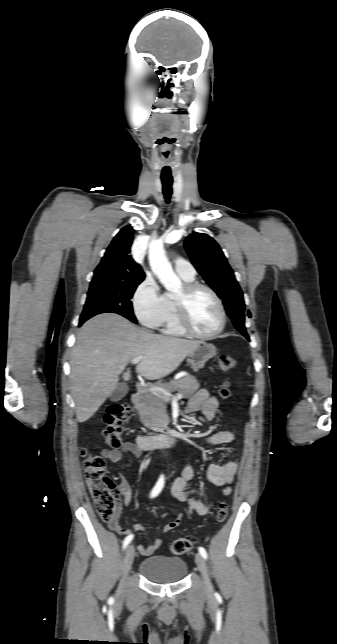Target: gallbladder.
I'll return each instance as SVG.
<instances>
[{"label": "gallbladder", "instance_id": "gallbladder-1", "mask_svg": "<svg viewBox=\"0 0 337 644\" xmlns=\"http://www.w3.org/2000/svg\"><path fill=\"white\" fill-rule=\"evenodd\" d=\"M128 390L129 388L125 383L119 384L117 388L110 395V400L114 402L121 400L126 396V394L128 393Z\"/></svg>", "mask_w": 337, "mask_h": 644}]
</instances>
